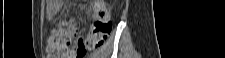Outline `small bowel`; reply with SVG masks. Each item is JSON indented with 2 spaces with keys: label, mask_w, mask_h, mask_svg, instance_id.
<instances>
[{
  "label": "small bowel",
  "mask_w": 225,
  "mask_h": 58,
  "mask_svg": "<svg viewBox=\"0 0 225 58\" xmlns=\"http://www.w3.org/2000/svg\"><path fill=\"white\" fill-rule=\"evenodd\" d=\"M61 7L62 3L59 0H48L47 2V11L49 14L58 11Z\"/></svg>",
  "instance_id": "small-bowel-1"
}]
</instances>
